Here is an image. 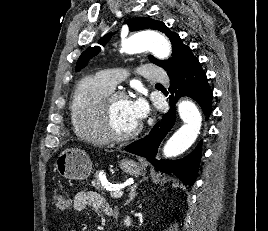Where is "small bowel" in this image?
Instances as JSON below:
<instances>
[{
    "label": "small bowel",
    "mask_w": 268,
    "mask_h": 231,
    "mask_svg": "<svg viewBox=\"0 0 268 231\" xmlns=\"http://www.w3.org/2000/svg\"><path fill=\"white\" fill-rule=\"evenodd\" d=\"M75 212L81 213L88 208L94 209L105 215H112L113 209L104 197L95 191H80L78 192L72 203ZM69 231H77L76 228H71Z\"/></svg>",
    "instance_id": "small-bowel-1"
}]
</instances>
